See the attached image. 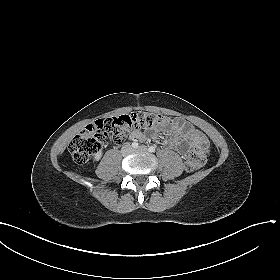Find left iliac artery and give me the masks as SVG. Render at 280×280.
Segmentation results:
<instances>
[{
    "label": "left iliac artery",
    "mask_w": 280,
    "mask_h": 280,
    "mask_svg": "<svg viewBox=\"0 0 280 280\" xmlns=\"http://www.w3.org/2000/svg\"><path fill=\"white\" fill-rule=\"evenodd\" d=\"M148 150H149V152H155V147L154 146H150Z\"/></svg>",
    "instance_id": "1"
}]
</instances>
